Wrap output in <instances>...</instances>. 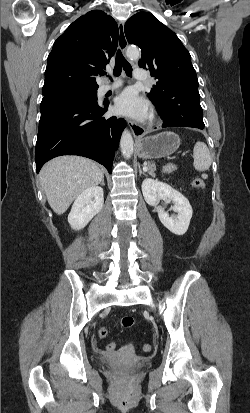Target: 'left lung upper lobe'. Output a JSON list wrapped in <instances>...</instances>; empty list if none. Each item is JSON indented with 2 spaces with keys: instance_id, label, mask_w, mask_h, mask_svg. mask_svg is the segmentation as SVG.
I'll return each mask as SVG.
<instances>
[{
  "instance_id": "left-lung-upper-lobe-1",
  "label": "left lung upper lobe",
  "mask_w": 250,
  "mask_h": 413,
  "mask_svg": "<svg viewBox=\"0 0 250 413\" xmlns=\"http://www.w3.org/2000/svg\"><path fill=\"white\" fill-rule=\"evenodd\" d=\"M124 31L128 42L142 49L139 66L149 69L158 80L149 97L161 101L186 88L198 90L190 53L177 35L153 15L146 12L133 15Z\"/></svg>"
}]
</instances>
